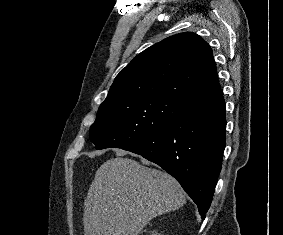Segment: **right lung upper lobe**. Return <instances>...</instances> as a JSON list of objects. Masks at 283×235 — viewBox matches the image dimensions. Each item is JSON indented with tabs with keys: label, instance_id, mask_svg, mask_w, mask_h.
Wrapping results in <instances>:
<instances>
[{
	"label": "right lung upper lobe",
	"instance_id": "obj_1",
	"mask_svg": "<svg viewBox=\"0 0 283 235\" xmlns=\"http://www.w3.org/2000/svg\"><path fill=\"white\" fill-rule=\"evenodd\" d=\"M212 50L199 35L170 36L137 55L116 76L101 105L128 98L186 102L219 88Z\"/></svg>",
	"mask_w": 283,
	"mask_h": 235
}]
</instances>
